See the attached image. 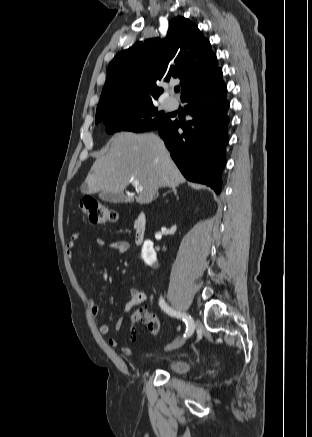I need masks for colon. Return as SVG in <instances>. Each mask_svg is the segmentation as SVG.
Listing matches in <instances>:
<instances>
[{
  "label": "colon",
  "instance_id": "1",
  "mask_svg": "<svg viewBox=\"0 0 312 437\" xmlns=\"http://www.w3.org/2000/svg\"><path fill=\"white\" fill-rule=\"evenodd\" d=\"M79 207L85 218L91 223L108 224L114 222L117 218V215L113 210L93 197H83L80 201ZM136 323L145 324L152 334L156 335L159 333L160 324L157 317L144 307H139L132 313L130 318L131 332L134 331Z\"/></svg>",
  "mask_w": 312,
  "mask_h": 437
}]
</instances>
